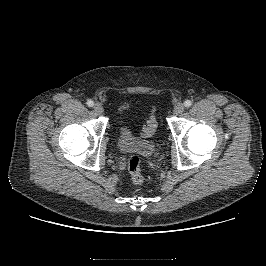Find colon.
<instances>
[{"label": "colon", "instance_id": "1", "mask_svg": "<svg viewBox=\"0 0 266 266\" xmlns=\"http://www.w3.org/2000/svg\"><path fill=\"white\" fill-rule=\"evenodd\" d=\"M157 128V121L154 112H151L147 123L144 125L142 129V135L144 137L152 136ZM141 160L140 157L137 155H131L128 158V171L131 177L132 182L135 185H141L144 181L143 175L141 173L140 168Z\"/></svg>", "mask_w": 266, "mask_h": 266}]
</instances>
